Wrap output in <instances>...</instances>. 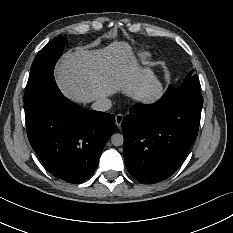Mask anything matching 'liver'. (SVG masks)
<instances>
[{
  "label": "liver",
  "mask_w": 233,
  "mask_h": 233,
  "mask_svg": "<svg viewBox=\"0 0 233 233\" xmlns=\"http://www.w3.org/2000/svg\"><path fill=\"white\" fill-rule=\"evenodd\" d=\"M62 93L77 103L87 104L122 92L142 103H153L163 93L152 71L138 66L127 42L114 41L103 49L76 47L66 52L55 69Z\"/></svg>",
  "instance_id": "6515ba94"
}]
</instances>
